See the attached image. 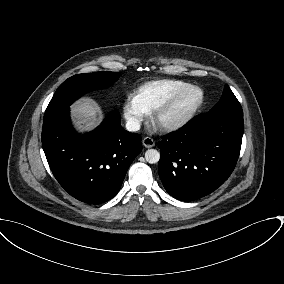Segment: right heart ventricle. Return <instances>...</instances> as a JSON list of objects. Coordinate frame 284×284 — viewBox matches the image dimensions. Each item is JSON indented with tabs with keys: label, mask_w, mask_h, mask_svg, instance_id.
Here are the masks:
<instances>
[{
	"label": "right heart ventricle",
	"mask_w": 284,
	"mask_h": 284,
	"mask_svg": "<svg viewBox=\"0 0 284 284\" xmlns=\"http://www.w3.org/2000/svg\"><path fill=\"white\" fill-rule=\"evenodd\" d=\"M189 85L187 82L175 79L149 81L137 89L135 98L147 113H151L175 93Z\"/></svg>",
	"instance_id": "right-heart-ventricle-1"
}]
</instances>
